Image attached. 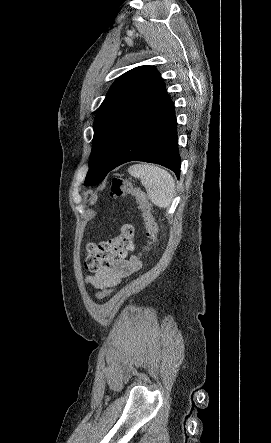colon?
I'll use <instances>...</instances> for the list:
<instances>
[{
    "instance_id": "5ec220e1",
    "label": "colon",
    "mask_w": 271,
    "mask_h": 443,
    "mask_svg": "<svg viewBox=\"0 0 271 443\" xmlns=\"http://www.w3.org/2000/svg\"><path fill=\"white\" fill-rule=\"evenodd\" d=\"M110 196L113 198L127 197L134 199L145 227L146 245L144 251L149 250L150 246L156 240V224L151 214V207L145 193L134 186L131 181L119 177L112 180L110 187ZM134 247V230L129 224H125L120 233L98 244L90 243L87 245V255L85 258V268L90 272H98L104 264L110 261L124 257ZM112 288H102L97 293V299L103 300L110 296Z\"/></svg>"
}]
</instances>
